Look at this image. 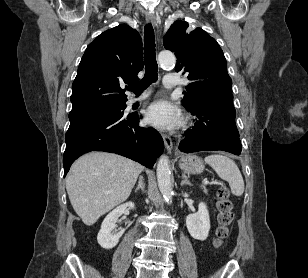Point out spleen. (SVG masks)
I'll list each match as a JSON object with an SVG mask.
<instances>
[{"mask_svg": "<svg viewBox=\"0 0 308 278\" xmlns=\"http://www.w3.org/2000/svg\"><path fill=\"white\" fill-rule=\"evenodd\" d=\"M205 162L214 169L221 179L229 183L233 195L241 196L244 193L243 177L232 159L221 154H213L205 157Z\"/></svg>", "mask_w": 308, "mask_h": 278, "instance_id": "1", "label": "spleen"}]
</instances>
